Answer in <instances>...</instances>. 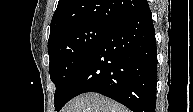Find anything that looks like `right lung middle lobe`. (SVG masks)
<instances>
[{
    "label": "right lung middle lobe",
    "mask_w": 193,
    "mask_h": 112,
    "mask_svg": "<svg viewBox=\"0 0 193 112\" xmlns=\"http://www.w3.org/2000/svg\"><path fill=\"white\" fill-rule=\"evenodd\" d=\"M110 29L95 23H81L60 30L48 40L50 78L56 86V111L64 106L82 64Z\"/></svg>",
    "instance_id": "dd1d6c3e"
}]
</instances>
